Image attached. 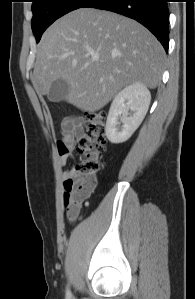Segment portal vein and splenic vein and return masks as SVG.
Returning <instances> with one entry per match:
<instances>
[{
    "label": "portal vein and splenic vein",
    "instance_id": "1",
    "mask_svg": "<svg viewBox=\"0 0 195 299\" xmlns=\"http://www.w3.org/2000/svg\"><path fill=\"white\" fill-rule=\"evenodd\" d=\"M93 59H94V60H97V59H98V57H97V56H95Z\"/></svg>",
    "mask_w": 195,
    "mask_h": 299
}]
</instances>
